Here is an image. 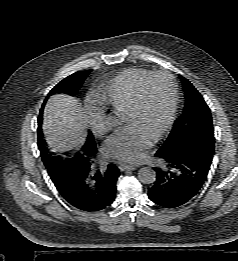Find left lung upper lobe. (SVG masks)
Here are the masks:
<instances>
[{
  "mask_svg": "<svg viewBox=\"0 0 238 261\" xmlns=\"http://www.w3.org/2000/svg\"><path fill=\"white\" fill-rule=\"evenodd\" d=\"M180 78L185 92V106L157 154L180 153L200 145L209 146V152L213 154L215 138L210 109L196 88L184 77Z\"/></svg>",
  "mask_w": 238,
  "mask_h": 261,
  "instance_id": "left-lung-upper-lobe-1",
  "label": "left lung upper lobe"
}]
</instances>
